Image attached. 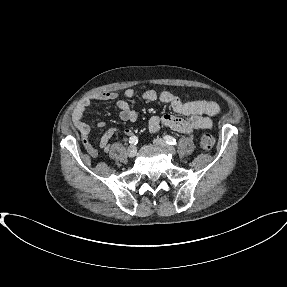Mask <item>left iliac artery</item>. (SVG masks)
<instances>
[{
	"label": "left iliac artery",
	"instance_id": "1",
	"mask_svg": "<svg viewBox=\"0 0 287 287\" xmlns=\"http://www.w3.org/2000/svg\"><path fill=\"white\" fill-rule=\"evenodd\" d=\"M164 139H165L166 142H167L168 144H170V145H176V144H177V140H176L174 137L170 136V135H166V136L164 137Z\"/></svg>",
	"mask_w": 287,
	"mask_h": 287
}]
</instances>
